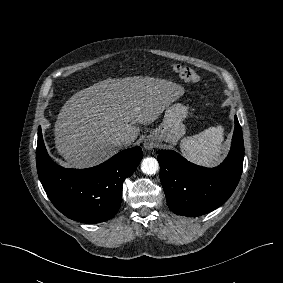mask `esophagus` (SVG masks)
Listing matches in <instances>:
<instances>
[{"label": "esophagus", "mask_w": 283, "mask_h": 283, "mask_svg": "<svg viewBox=\"0 0 283 283\" xmlns=\"http://www.w3.org/2000/svg\"><path fill=\"white\" fill-rule=\"evenodd\" d=\"M155 144L153 141H145L144 142V148L147 150V151H151L153 150Z\"/></svg>", "instance_id": "esophagus-1"}]
</instances>
